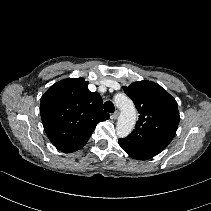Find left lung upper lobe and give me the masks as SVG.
<instances>
[{"label":"left lung upper lobe","mask_w":211,"mask_h":211,"mask_svg":"<svg viewBox=\"0 0 211 211\" xmlns=\"http://www.w3.org/2000/svg\"><path fill=\"white\" fill-rule=\"evenodd\" d=\"M134 102L139 115L135 129L119 145L138 160L152 158L162 152L174 138L180 116L176 100L160 85L138 81L123 87Z\"/></svg>","instance_id":"left-lung-upper-lobe-1"}]
</instances>
